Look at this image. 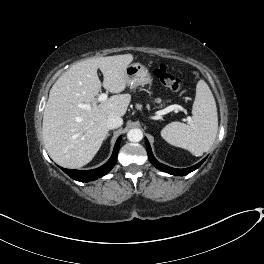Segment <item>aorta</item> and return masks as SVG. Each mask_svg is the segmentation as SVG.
I'll return each mask as SVG.
<instances>
[{"label":"aorta","instance_id":"762f6f07","mask_svg":"<svg viewBox=\"0 0 264 264\" xmlns=\"http://www.w3.org/2000/svg\"><path fill=\"white\" fill-rule=\"evenodd\" d=\"M143 138V133L140 129L134 128L128 131L127 139L131 142H139Z\"/></svg>","mask_w":264,"mask_h":264}]
</instances>
